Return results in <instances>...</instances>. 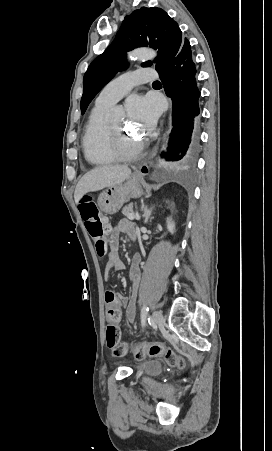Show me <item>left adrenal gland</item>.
<instances>
[{
  "label": "left adrenal gland",
  "mask_w": 272,
  "mask_h": 451,
  "mask_svg": "<svg viewBox=\"0 0 272 451\" xmlns=\"http://www.w3.org/2000/svg\"><path fill=\"white\" fill-rule=\"evenodd\" d=\"M141 210L143 212V218H145L144 224H147V222L151 216L152 208H150V210H148L147 206H142Z\"/></svg>",
  "instance_id": "a2214340"
}]
</instances>
